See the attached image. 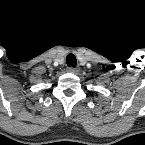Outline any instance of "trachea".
I'll return each mask as SVG.
<instances>
[{"label": "trachea", "mask_w": 145, "mask_h": 145, "mask_svg": "<svg viewBox=\"0 0 145 145\" xmlns=\"http://www.w3.org/2000/svg\"><path fill=\"white\" fill-rule=\"evenodd\" d=\"M66 63H67L68 66L75 67L76 64H77V59L73 54H69L66 57Z\"/></svg>", "instance_id": "3493384b"}]
</instances>
